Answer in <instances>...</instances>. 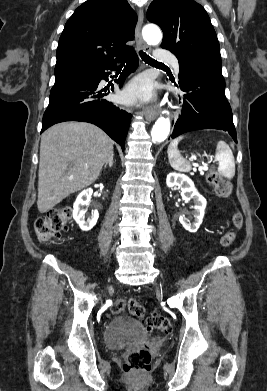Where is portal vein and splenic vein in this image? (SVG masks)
Segmentation results:
<instances>
[{
  "instance_id": "1",
  "label": "portal vein and splenic vein",
  "mask_w": 267,
  "mask_h": 391,
  "mask_svg": "<svg viewBox=\"0 0 267 391\" xmlns=\"http://www.w3.org/2000/svg\"><path fill=\"white\" fill-rule=\"evenodd\" d=\"M190 160L193 161V160H195V159H191V158H190ZM193 165L196 166L197 164H196V163H193ZM207 168H208L207 165H204L203 167H201V169H207Z\"/></svg>"
}]
</instances>
